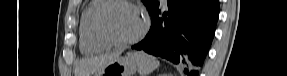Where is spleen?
Segmentation results:
<instances>
[{"instance_id": "spleen-1", "label": "spleen", "mask_w": 287, "mask_h": 76, "mask_svg": "<svg viewBox=\"0 0 287 76\" xmlns=\"http://www.w3.org/2000/svg\"><path fill=\"white\" fill-rule=\"evenodd\" d=\"M129 56L136 61L140 76H147L160 65L155 57L143 52H132Z\"/></svg>"}]
</instances>
